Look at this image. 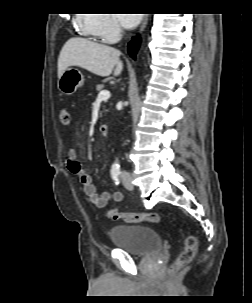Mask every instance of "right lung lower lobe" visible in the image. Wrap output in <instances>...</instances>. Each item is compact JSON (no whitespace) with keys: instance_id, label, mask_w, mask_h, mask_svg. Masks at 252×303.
Returning a JSON list of instances; mask_svg holds the SVG:
<instances>
[{"instance_id":"98d812e1","label":"right lung lower lobe","mask_w":252,"mask_h":303,"mask_svg":"<svg viewBox=\"0 0 252 303\" xmlns=\"http://www.w3.org/2000/svg\"><path fill=\"white\" fill-rule=\"evenodd\" d=\"M139 45H140L139 37H133L132 40L128 44V52L133 58H135Z\"/></svg>"}]
</instances>
